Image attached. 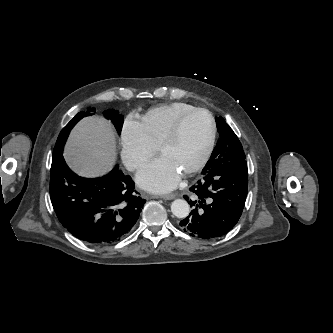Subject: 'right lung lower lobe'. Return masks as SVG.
<instances>
[{
	"label": "right lung lower lobe",
	"mask_w": 333,
	"mask_h": 333,
	"mask_svg": "<svg viewBox=\"0 0 333 333\" xmlns=\"http://www.w3.org/2000/svg\"><path fill=\"white\" fill-rule=\"evenodd\" d=\"M119 166L94 179L75 174L62 153L53 155L50 197L62 225L76 238L94 245L119 241L137 222L145 199Z\"/></svg>",
	"instance_id": "1"
}]
</instances>
